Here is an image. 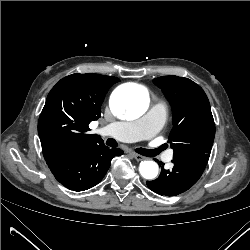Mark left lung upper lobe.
Returning a JSON list of instances; mask_svg holds the SVG:
<instances>
[{"instance_id": "left-lung-upper-lobe-1", "label": "left lung upper lobe", "mask_w": 250, "mask_h": 250, "mask_svg": "<svg viewBox=\"0 0 250 250\" xmlns=\"http://www.w3.org/2000/svg\"><path fill=\"white\" fill-rule=\"evenodd\" d=\"M169 100L173 113V129L169 143L174 157L194 154L210 155L215 124L209 100L203 89L188 78L174 75L153 80Z\"/></svg>"}]
</instances>
